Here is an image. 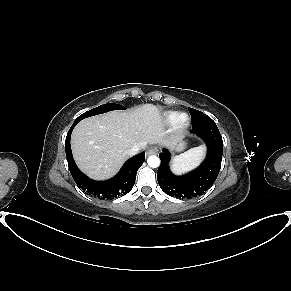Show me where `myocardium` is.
Returning a JSON list of instances; mask_svg holds the SVG:
<instances>
[{
	"label": "myocardium",
	"instance_id": "f54148a6",
	"mask_svg": "<svg viewBox=\"0 0 291 291\" xmlns=\"http://www.w3.org/2000/svg\"><path fill=\"white\" fill-rule=\"evenodd\" d=\"M190 123V117L185 112L176 113L173 120V129L175 131H184Z\"/></svg>",
	"mask_w": 291,
	"mask_h": 291
}]
</instances>
